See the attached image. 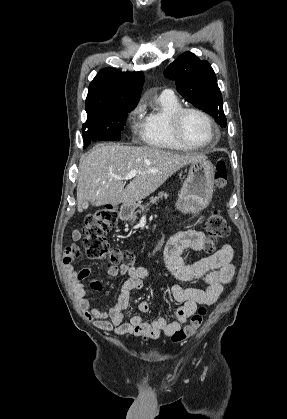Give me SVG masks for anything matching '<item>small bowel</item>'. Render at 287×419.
Masks as SVG:
<instances>
[{"instance_id":"small-bowel-1","label":"small bowel","mask_w":287,"mask_h":419,"mask_svg":"<svg viewBox=\"0 0 287 419\" xmlns=\"http://www.w3.org/2000/svg\"><path fill=\"white\" fill-rule=\"evenodd\" d=\"M71 237L73 242L64 249L63 265L70 277L79 305L86 318L98 328L119 336L133 335L143 340L171 336L194 314L198 305L215 303L223 290V286L232 280L235 272V267L232 264L233 249L229 244H223L212 255L196 264L184 265L181 258L182 252L189 248L194 250L203 249L206 237L203 232L193 229L180 231L169 239L165 247L164 260L166 267L182 282L202 278L206 288H184L180 285H174L171 289L172 297L182 305L176 310L172 321L160 317L146 322L141 316L133 315L126 322L124 321V313L130 306L131 294L142 287L143 281L150 275V271L147 268L112 263L108 267L110 276L124 275L127 277L118 293L116 304L105 311L92 307L82 282L91 275L92 268L74 269L73 264L81 255L77 244L81 238V233L73 231ZM89 286L93 290L99 291L102 289V282L99 279H92ZM138 310L148 312L149 304L145 301L139 303Z\"/></svg>"}]
</instances>
